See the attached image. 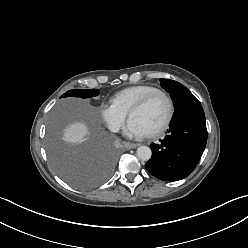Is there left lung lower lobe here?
I'll list each match as a JSON object with an SVG mask.
<instances>
[{"label":"left lung lower lobe","instance_id":"obj_1","mask_svg":"<svg viewBox=\"0 0 248 248\" xmlns=\"http://www.w3.org/2000/svg\"><path fill=\"white\" fill-rule=\"evenodd\" d=\"M206 142L203 108L194 95H189L175 108L168 135L159 144L150 145L152 157L145 168L161 180H181L195 169Z\"/></svg>","mask_w":248,"mask_h":248}]
</instances>
